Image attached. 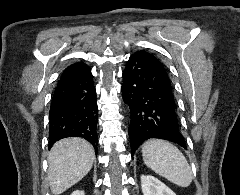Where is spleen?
Returning a JSON list of instances; mask_svg holds the SVG:
<instances>
[{"instance_id": "obj_1", "label": "spleen", "mask_w": 240, "mask_h": 195, "mask_svg": "<svg viewBox=\"0 0 240 195\" xmlns=\"http://www.w3.org/2000/svg\"><path fill=\"white\" fill-rule=\"evenodd\" d=\"M144 163L180 187H188L193 179L191 167L182 151L165 139H148L142 145Z\"/></svg>"}]
</instances>
